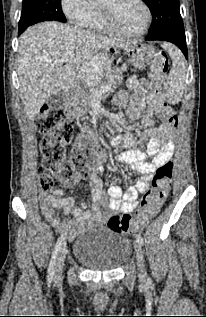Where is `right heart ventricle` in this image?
<instances>
[{
	"label": "right heart ventricle",
	"instance_id": "right-heart-ventricle-1",
	"mask_svg": "<svg viewBox=\"0 0 206 317\" xmlns=\"http://www.w3.org/2000/svg\"><path fill=\"white\" fill-rule=\"evenodd\" d=\"M89 28L99 31H107L103 15L101 12V8L99 5H94V14L92 16V19L89 23Z\"/></svg>",
	"mask_w": 206,
	"mask_h": 317
}]
</instances>
